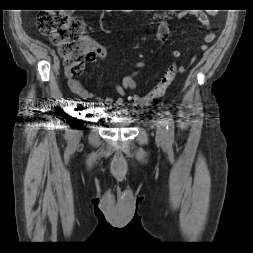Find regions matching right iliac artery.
<instances>
[{
    "instance_id": "obj_1",
    "label": "right iliac artery",
    "mask_w": 253,
    "mask_h": 253,
    "mask_svg": "<svg viewBox=\"0 0 253 253\" xmlns=\"http://www.w3.org/2000/svg\"><path fill=\"white\" fill-rule=\"evenodd\" d=\"M66 122H65V132H64V138L65 139H70L71 138V132H70V125L73 123V119L75 117L74 114V105H71V108L68 110L66 114Z\"/></svg>"
}]
</instances>
